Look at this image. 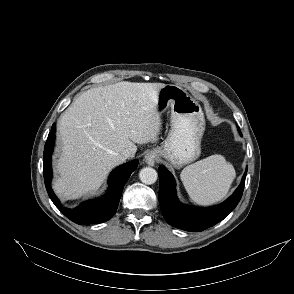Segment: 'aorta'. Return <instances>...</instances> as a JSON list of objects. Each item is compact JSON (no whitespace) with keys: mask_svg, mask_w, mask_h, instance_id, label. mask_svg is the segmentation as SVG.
<instances>
[{"mask_svg":"<svg viewBox=\"0 0 294 294\" xmlns=\"http://www.w3.org/2000/svg\"><path fill=\"white\" fill-rule=\"evenodd\" d=\"M158 174L155 169L151 167H145L141 169L139 178L142 183L150 185L156 182Z\"/></svg>","mask_w":294,"mask_h":294,"instance_id":"obj_1","label":"aorta"}]
</instances>
